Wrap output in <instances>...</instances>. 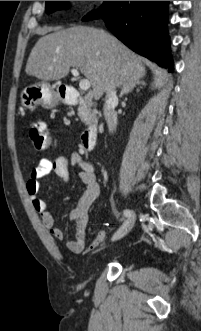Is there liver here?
Here are the masks:
<instances>
[{
  "mask_svg": "<svg viewBox=\"0 0 201 331\" xmlns=\"http://www.w3.org/2000/svg\"><path fill=\"white\" fill-rule=\"evenodd\" d=\"M89 80L95 100L110 86L120 87L145 75L140 58L114 36L95 28L75 26L41 37L32 49L26 74L43 81L60 80L70 68Z\"/></svg>",
  "mask_w": 201,
  "mask_h": 331,
  "instance_id": "1",
  "label": "liver"
}]
</instances>
